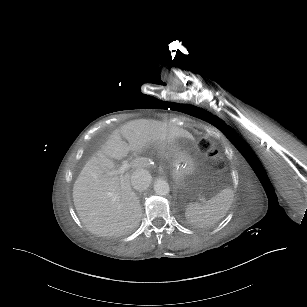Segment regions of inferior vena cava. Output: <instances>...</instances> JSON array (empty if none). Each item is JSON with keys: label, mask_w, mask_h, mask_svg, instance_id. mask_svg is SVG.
<instances>
[{"label": "inferior vena cava", "mask_w": 307, "mask_h": 307, "mask_svg": "<svg viewBox=\"0 0 307 307\" xmlns=\"http://www.w3.org/2000/svg\"><path fill=\"white\" fill-rule=\"evenodd\" d=\"M151 181L152 176L145 169L134 171L131 176V185L136 191H144L148 189Z\"/></svg>", "instance_id": "1"}]
</instances>
